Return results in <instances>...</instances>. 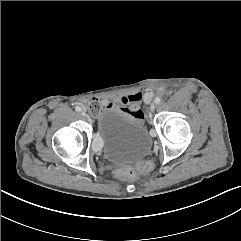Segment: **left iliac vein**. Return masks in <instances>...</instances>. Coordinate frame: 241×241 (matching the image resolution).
Here are the masks:
<instances>
[{
    "mask_svg": "<svg viewBox=\"0 0 241 241\" xmlns=\"http://www.w3.org/2000/svg\"><path fill=\"white\" fill-rule=\"evenodd\" d=\"M155 107H156L155 104H151L150 110H151V111H154V110H155Z\"/></svg>",
    "mask_w": 241,
    "mask_h": 241,
    "instance_id": "obj_1",
    "label": "left iliac vein"
}]
</instances>
